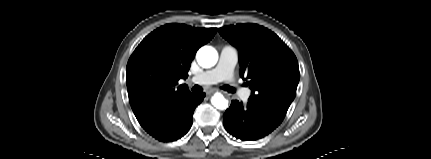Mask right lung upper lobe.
Here are the masks:
<instances>
[{"instance_id": "cb5924a9", "label": "right lung upper lobe", "mask_w": 431, "mask_h": 159, "mask_svg": "<svg viewBox=\"0 0 431 159\" xmlns=\"http://www.w3.org/2000/svg\"><path fill=\"white\" fill-rule=\"evenodd\" d=\"M217 28H193L166 24L146 36L126 67L127 90L132 110L140 125L189 93L178 85L188 77L197 50L209 42Z\"/></svg>"}]
</instances>
